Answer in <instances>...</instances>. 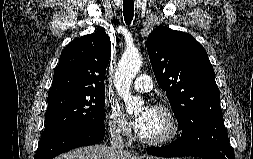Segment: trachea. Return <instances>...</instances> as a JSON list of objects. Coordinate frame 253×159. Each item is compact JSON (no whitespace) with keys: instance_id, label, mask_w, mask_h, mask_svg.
Instances as JSON below:
<instances>
[{"instance_id":"1","label":"trachea","mask_w":253,"mask_h":159,"mask_svg":"<svg viewBox=\"0 0 253 159\" xmlns=\"http://www.w3.org/2000/svg\"><path fill=\"white\" fill-rule=\"evenodd\" d=\"M134 13V1L133 0H124L123 1V14L124 20L127 25H130L133 19Z\"/></svg>"}]
</instances>
